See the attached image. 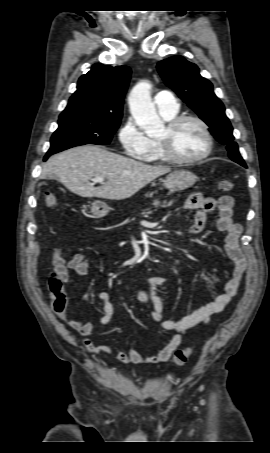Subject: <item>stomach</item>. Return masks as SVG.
<instances>
[{"mask_svg":"<svg viewBox=\"0 0 270 453\" xmlns=\"http://www.w3.org/2000/svg\"><path fill=\"white\" fill-rule=\"evenodd\" d=\"M195 182L196 176L191 171L181 169L170 173L163 184L169 191L176 192L190 188ZM109 210L110 207L101 201H95L91 206L92 214L98 218L106 216Z\"/></svg>","mask_w":270,"mask_h":453,"instance_id":"1","label":"stomach"}]
</instances>
